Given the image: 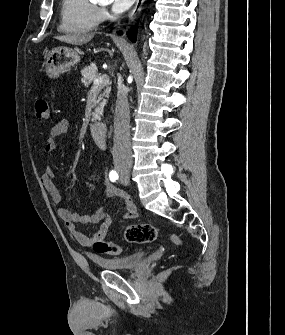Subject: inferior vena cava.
Segmentation results:
<instances>
[{"label": "inferior vena cava", "instance_id": "inferior-vena-cava-1", "mask_svg": "<svg viewBox=\"0 0 285 335\" xmlns=\"http://www.w3.org/2000/svg\"><path fill=\"white\" fill-rule=\"evenodd\" d=\"M127 90L123 84L121 76H119L117 104L114 114V150L115 156L121 162L132 164V152L130 142V110L127 98Z\"/></svg>", "mask_w": 285, "mask_h": 335}]
</instances>
